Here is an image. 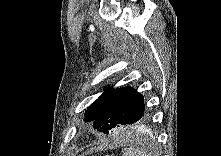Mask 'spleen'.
Here are the masks:
<instances>
[{
  "label": "spleen",
  "mask_w": 221,
  "mask_h": 156,
  "mask_svg": "<svg viewBox=\"0 0 221 156\" xmlns=\"http://www.w3.org/2000/svg\"><path fill=\"white\" fill-rule=\"evenodd\" d=\"M123 156H149L146 151L142 149H124Z\"/></svg>",
  "instance_id": "spleen-1"
}]
</instances>
